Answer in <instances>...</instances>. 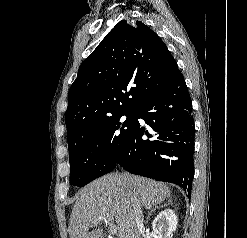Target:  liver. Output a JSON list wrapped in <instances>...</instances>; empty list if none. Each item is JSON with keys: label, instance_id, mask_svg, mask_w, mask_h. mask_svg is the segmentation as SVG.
<instances>
[{"label": "liver", "instance_id": "liver-1", "mask_svg": "<svg viewBox=\"0 0 247 238\" xmlns=\"http://www.w3.org/2000/svg\"><path fill=\"white\" fill-rule=\"evenodd\" d=\"M171 196L161 182L129 174L110 173L77 194L69 224L70 238H103L97 227L103 219H115L119 238H138L134 225V204L151 209Z\"/></svg>", "mask_w": 247, "mask_h": 238}]
</instances>
